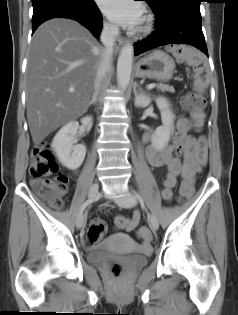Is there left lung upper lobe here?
I'll return each mask as SVG.
<instances>
[{
    "label": "left lung upper lobe",
    "instance_id": "5c2ea615",
    "mask_svg": "<svg viewBox=\"0 0 238 315\" xmlns=\"http://www.w3.org/2000/svg\"><path fill=\"white\" fill-rule=\"evenodd\" d=\"M145 1H147V2L150 4V6H151L152 8H156V7L159 6L161 3H163V2H165V1H167V0H145Z\"/></svg>",
    "mask_w": 238,
    "mask_h": 315
}]
</instances>
